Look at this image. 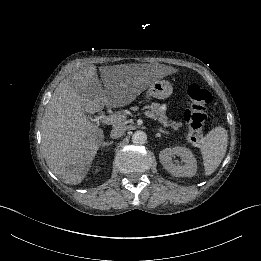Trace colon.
Segmentation results:
<instances>
[{
	"instance_id": "1",
	"label": "colon",
	"mask_w": 261,
	"mask_h": 261,
	"mask_svg": "<svg viewBox=\"0 0 261 261\" xmlns=\"http://www.w3.org/2000/svg\"><path fill=\"white\" fill-rule=\"evenodd\" d=\"M187 107L184 120L187 126V136L194 140L200 137L204 127L211 117L210 105L213 97L210 91L191 83L186 88Z\"/></svg>"
}]
</instances>
